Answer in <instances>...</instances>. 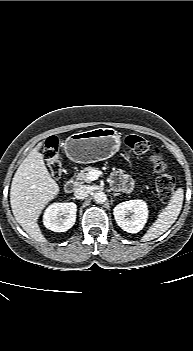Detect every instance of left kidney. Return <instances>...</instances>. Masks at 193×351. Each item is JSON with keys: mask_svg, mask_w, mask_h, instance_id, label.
Returning <instances> with one entry per match:
<instances>
[{"mask_svg": "<svg viewBox=\"0 0 193 351\" xmlns=\"http://www.w3.org/2000/svg\"><path fill=\"white\" fill-rule=\"evenodd\" d=\"M118 226L128 233H138L148 219L147 204L143 200H129L119 203L113 210Z\"/></svg>", "mask_w": 193, "mask_h": 351, "instance_id": "1", "label": "left kidney"}]
</instances>
